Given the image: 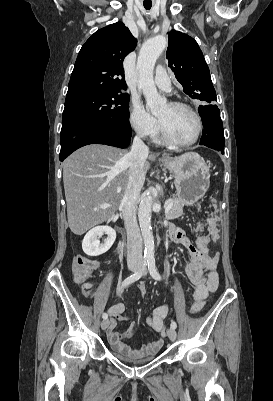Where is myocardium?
<instances>
[{
    "label": "myocardium",
    "instance_id": "f54148a6",
    "mask_svg": "<svg viewBox=\"0 0 273 401\" xmlns=\"http://www.w3.org/2000/svg\"><path fill=\"white\" fill-rule=\"evenodd\" d=\"M169 105L178 107V108H182V109H185L186 111H188L195 118L197 125H198V131H197L196 136L192 140L180 141V140L176 139L175 137H173L171 135V133L165 128V126L163 125L161 120L158 119L159 128H160L163 140L169 144H172L175 146H180V147H188V146H191V145H194L195 143H197L201 139L202 134L204 132V123H203V119H202L201 115L192 106H190L186 103H183V102L173 101V102H170Z\"/></svg>",
    "mask_w": 273,
    "mask_h": 401
}]
</instances>
